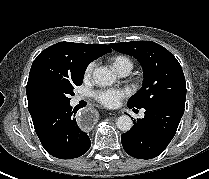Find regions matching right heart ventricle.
<instances>
[{"label":"right heart ventricle","mask_w":209,"mask_h":179,"mask_svg":"<svg viewBox=\"0 0 209 179\" xmlns=\"http://www.w3.org/2000/svg\"><path fill=\"white\" fill-rule=\"evenodd\" d=\"M112 67L117 71L121 68L132 69L133 63L131 59L124 55H117L110 59Z\"/></svg>","instance_id":"1"}]
</instances>
